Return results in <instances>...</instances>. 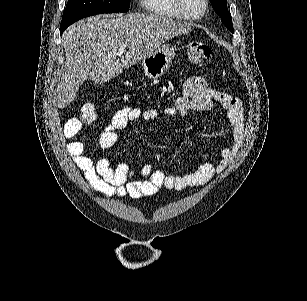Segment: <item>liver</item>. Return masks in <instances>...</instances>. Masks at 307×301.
I'll list each match as a JSON object with an SVG mask.
<instances>
[{
    "label": "liver",
    "instance_id": "liver-1",
    "mask_svg": "<svg viewBox=\"0 0 307 301\" xmlns=\"http://www.w3.org/2000/svg\"><path fill=\"white\" fill-rule=\"evenodd\" d=\"M191 30V22L140 12L117 18H101L99 14L74 22L62 36L66 60L58 86V108H65L74 100L80 84L87 78L96 84L108 82L123 68L158 50L169 38ZM119 46L128 48L122 52L121 62L119 52L113 50Z\"/></svg>",
    "mask_w": 307,
    "mask_h": 301
}]
</instances>
